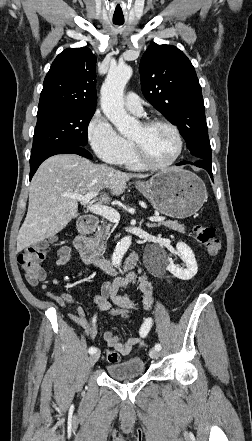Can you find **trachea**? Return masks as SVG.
<instances>
[{"instance_id": "1", "label": "trachea", "mask_w": 252, "mask_h": 441, "mask_svg": "<svg viewBox=\"0 0 252 441\" xmlns=\"http://www.w3.org/2000/svg\"><path fill=\"white\" fill-rule=\"evenodd\" d=\"M113 23L120 26L124 24V21H113Z\"/></svg>"}]
</instances>
